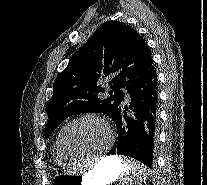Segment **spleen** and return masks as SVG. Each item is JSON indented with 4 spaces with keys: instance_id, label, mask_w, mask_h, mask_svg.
Returning <instances> with one entry per match:
<instances>
[{
    "instance_id": "3e777b00",
    "label": "spleen",
    "mask_w": 207,
    "mask_h": 185,
    "mask_svg": "<svg viewBox=\"0 0 207 185\" xmlns=\"http://www.w3.org/2000/svg\"><path fill=\"white\" fill-rule=\"evenodd\" d=\"M119 163H124L123 171H127L121 174L122 185H141L144 179H153V174H149L148 166H143L138 159L119 158Z\"/></svg>"
}]
</instances>
